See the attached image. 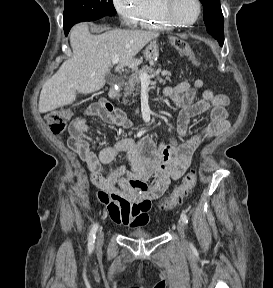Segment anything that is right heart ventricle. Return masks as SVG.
<instances>
[{"mask_svg":"<svg viewBox=\"0 0 273 288\" xmlns=\"http://www.w3.org/2000/svg\"><path fill=\"white\" fill-rule=\"evenodd\" d=\"M135 25L144 29L164 30L172 28L163 16L160 0H142Z\"/></svg>","mask_w":273,"mask_h":288,"instance_id":"obj_1","label":"right heart ventricle"}]
</instances>
